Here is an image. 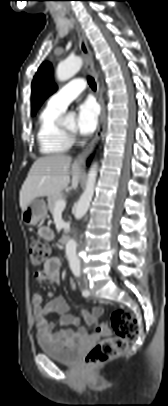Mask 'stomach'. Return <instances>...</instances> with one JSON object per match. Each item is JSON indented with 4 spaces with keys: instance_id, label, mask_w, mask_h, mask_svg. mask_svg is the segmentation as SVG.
I'll return each instance as SVG.
<instances>
[{
    "instance_id": "stomach-1",
    "label": "stomach",
    "mask_w": 168,
    "mask_h": 406,
    "mask_svg": "<svg viewBox=\"0 0 168 406\" xmlns=\"http://www.w3.org/2000/svg\"><path fill=\"white\" fill-rule=\"evenodd\" d=\"M47 215V207L42 199H34L23 211L22 221L25 225H36Z\"/></svg>"
}]
</instances>
